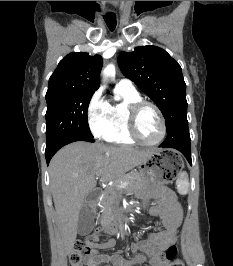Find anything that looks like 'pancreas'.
<instances>
[{"mask_svg":"<svg viewBox=\"0 0 233 266\" xmlns=\"http://www.w3.org/2000/svg\"><path fill=\"white\" fill-rule=\"evenodd\" d=\"M121 182L128 183L124 190H120L116 186L111 187L105 191L102 200L99 202L102 223H107L113 219L123 192L127 195H132L144 186V180L139 173H134L132 178L123 177L117 181V184Z\"/></svg>","mask_w":233,"mask_h":266,"instance_id":"cf45deb5","label":"pancreas"}]
</instances>
